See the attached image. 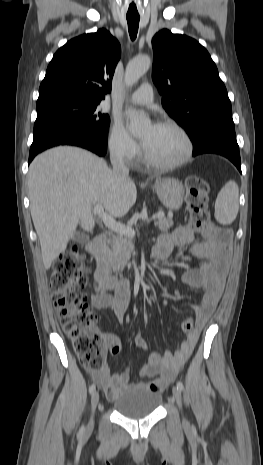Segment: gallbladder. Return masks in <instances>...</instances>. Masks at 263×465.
I'll list each match as a JSON object with an SVG mask.
<instances>
[{
  "label": "gallbladder",
  "mask_w": 263,
  "mask_h": 465,
  "mask_svg": "<svg viewBox=\"0 0 263 465\" xmlns=\"http://www.w3.org/2000/svg\"><path fill=\"white\" fill-rule=\"evenodd\" d=\"M73 240L77 243L84 244L89 240V237L83 232H75L73 235Z\"/></svg>",
  "instance_id": "gallbladder-1"
}]
</instances>
